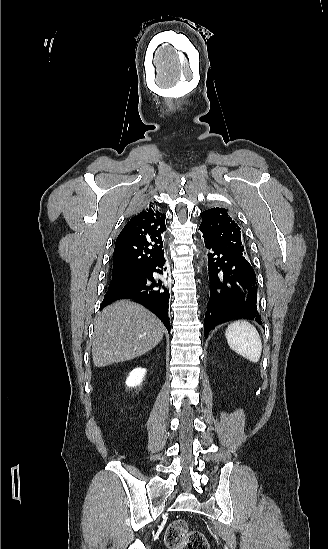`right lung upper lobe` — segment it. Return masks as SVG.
<instances>
[{
	"instance_id": "cb5924a9",
	"label": "right lung upper lobe",
	"mask_w": 328,
	"mask_h": 549,
	"mask_svg": "<svg viewBox=\"0 0 328 549\" xmlns=\"http://www.w3.org/2000/svg\"><path fill=\"white\" fill-rule=\"evenodd\" d=\"M165 218L150 204L127 222L115 243L112 276L140 273L164 253Z\"/></svg>"
}]
</instances>
